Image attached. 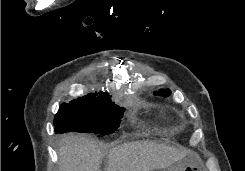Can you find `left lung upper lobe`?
Listing matches in <instances>:
<instances>
[{"label":"left lung upper lobe","instance_id":"left-lung-upper-lobe-1","mask_svg":"<svg viewBox=\"0 0 245 171\" xmlns=\"http://www.w3.org/2000/svg\"><path fill=\"white\" fill-rule=\"evenodd\" d=\"M158 95H162V96H169L170 95V91L169 90H160L158 93H156Z\"/></svg>","mask_w":245,"mask_h":171}]
</instances>
